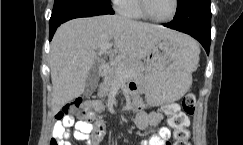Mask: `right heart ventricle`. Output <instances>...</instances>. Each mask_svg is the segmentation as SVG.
Returning a JSON list of instances; mask_svg holds the SVG:
<instances>
[{"instance_id":"obj_1","label":"right heart ventricle","mask_w":243,"mask_h":145,"mask_svg":"<svg viewBox=\"0 0 243 145\" xmlns=\"http://www.w3.org/2000/svg\"><path fill=\"white\" fill-rule=\"evenodd\" d=\"M120 14L131 19H142L144 18L141 13L137 0H123L118 6Z\"/></svg>"}]
</instances>
